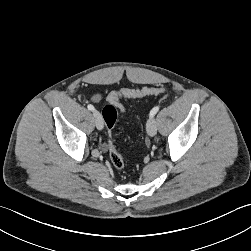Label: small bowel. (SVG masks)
I'll return each mask as SVG.
<instances>
[{
	"label": "small bowel",
	"instance_id": "obj_1",
	"mask_svg": "<svg viewBox=\"0 0 251 251\" xmlns=\"http://www.w3.org/2000/svg\"><path fill=\"white\" fill-rule=\"evenodd\" d=\"M100 99H101V96L97 94V95L93 96L92 101L93 102H98V101H100Z\"/></svg>",
	"mask_w": 251,
	"mask_h": 251
}]
</instances>
